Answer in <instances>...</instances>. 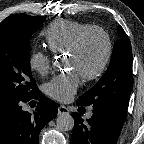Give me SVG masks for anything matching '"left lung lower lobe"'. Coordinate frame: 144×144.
Wrapping results in <instances>:
<instances>
[{
  "instance_id": "1",
  "label": "left lung lower lobe",
  "mask_w": 144,
  "mask_h": 144,
  "mask_svg": "<svg viewBox=\"0 0 144 144\" xmlns=\"http://www.w3.org/2000/svg\"><path fill=\"white\" fill-rule=\"evenodd\" d=\"M92 112L86 122L79 113H72L75 124L71 144H115L126 115L108 106L93 107Z\"/></svg>"
}]
</instances>
